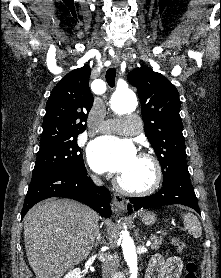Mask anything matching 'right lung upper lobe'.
<instances>
[{"label":"right lung upper lobe","mask_w":221,"mask_h":278,"mask_svg":"<svg viewBox=\"0 0 221 278\" xmlns=\"http://www.w3.org/2000/svg\"><path fill=\"white\" fill-rule=\"evenodd\" d=\"M90 68L68 73L52 90L47 101L41 142L77 136L85 130L93 105L89 88Z\"/></svg>","instance_id":"cb5924a9"}]
</instances>
